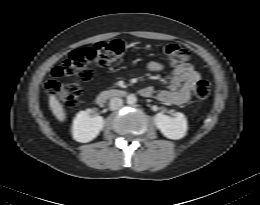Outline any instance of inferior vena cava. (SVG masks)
<instances>
[{"mask_svg": "<svg viewBox=\"0 0 260 205\" xmlns=\"http://www.w3.org/2000/svg\"><path fill=\"white\" fill-rule=\"evenodd\" d=\"M123 105V100L119 97H114L110 100V109L117 110Z\"/></svg>", "mask_w": 260, "mask_h": 205, "instance_id": "obj_1", "label": "inferior vena cava"}]
</instances>
